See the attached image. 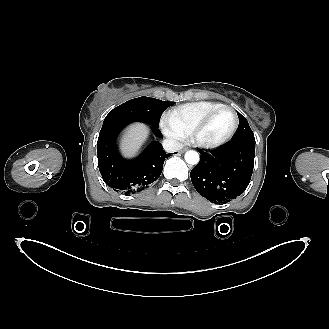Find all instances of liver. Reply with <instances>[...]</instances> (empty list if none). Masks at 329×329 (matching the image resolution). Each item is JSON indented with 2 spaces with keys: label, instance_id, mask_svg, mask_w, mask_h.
<instances>
[{
  "label": "liver",
  "instance_id": "obj_1",
  "mask_svg": "<svg viewBox=\"0 0 329 329\" xmlns=\"http://www.w3.org/2000/svg\"><path fill=\"white\" fill-rule=\"evenodd\" d=\"M146 134L147 132L142 124H135L128 128L121 140V150L124 155H135L143 144Z\"/></svg>",
  "mask_w": 329,
  "mask_h": 329
}]
</instances>
